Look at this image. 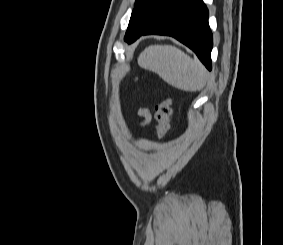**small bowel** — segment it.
I'll list each match as a JSON object with an SVG mask.
<instances>
[{"label":"small bowel","instance_id":"small-bowel-1","mask_svg":"<svg viewBox=\"0 0 283 245\" xmlns=\"http://www.w3.org/2000/svg\"><path fill=\"white\" fill-rule=\"evenodd\" d=\"M138 115L142 118V121H141L142 127L146 126L147 124L151 122L152 117L148 109L146 108L139 109Z\"/></svg>","mask_w":283,"mask_h":245}]
</instances>
